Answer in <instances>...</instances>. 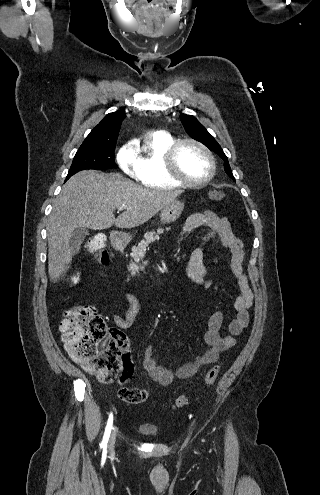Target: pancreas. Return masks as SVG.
I'll list each match as a JSON object with an SVG mask.
<instances>
[{
	"mask_svg": "<svg viewBox=\"0 0 320 495\" xmlns=\"http://www.w3.org/2000/svg\"><path fill=\"white\" fill-rule=\"evenodd\" d=\"M170 228H167L166 230H169ZM164 232V229L159 228L156 232L151 231L145 234V239L142 240L140 243H138V246H133L132 247V253L131 257L134 259V262H131L128 271L131 272V275H135V273L139 270V266L137 263L144 257L147 247L149 246L150 243H153L155 240L160 239V234Z\"/></svg>",
	"mask_w": 320,
	"mask_h": 495,
	"instance_id": "pancreas-1",
	"label": "pancreas"
}]
</instances>
